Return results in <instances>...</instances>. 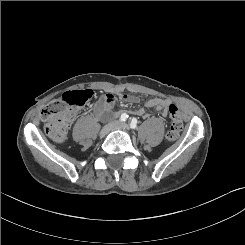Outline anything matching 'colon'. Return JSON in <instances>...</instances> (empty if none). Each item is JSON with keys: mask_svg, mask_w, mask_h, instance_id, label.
<instances>
[{"mask_svg": "<svg viewBox=\"0 0 245 245\" xmlns=\"http://www.w3.org/2000/svg\"><path fill=\"white\" fill-rule=\"evenodd\" d=\"M92 96L93 92L88 89L73 90L45 105L41 110V118L45 122L46 134L56 142H64L67 138L68 128L74 118L75 109L87 104ZM167 111L171 124L166 139L173 142L178 138L183 128V121L176 105H168Z\"/></svg>", "mask_w": 245, "mask_h": 245, "instance_id": "obj_1", "label": "colon"}]
</instances>
